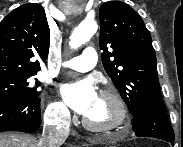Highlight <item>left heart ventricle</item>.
Instances as JSON below:
<instances>
[{
	"label": "left heart ventricle",
	"instance_id": "1",
	"mask_svg": "<svg viewBox=\"0 0 183 147\" xmlns=\"http://www.w3.org/2000/svg\"><path fill=\"white\" fill-rule=\"evenodd\" d=\"M85 116L95 124L109 125L117 120L118 113L111 100L97 96V99Z\"/></svg>",
	"mask_w": 183,
	"mask_h": 147
}]
</instances>
